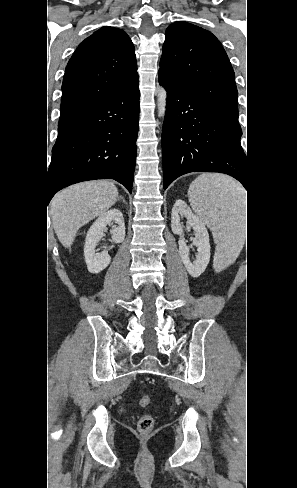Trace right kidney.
<instances>
[{
  "label": "right kidney",
  "instance_id": "ca27d5eb",
  "mask_svg": "<svg viewBox=\"0 0 297 488\" xmlns=\"http://www.w3.org/2000/svg\"><path fill=\"white\" fill-rule=\"evenodd\" d=\"M114 221L118 226H112L111 235L112 241L115 243H121L125 239V223L122 212L113 208L101 216L92 224L91 228L87 232L84 245V256L88 270L91 273H99L104 270L111 262V257L107 250L101 253H96L95 248L97 243L103 237V232L106 230V226Z\"/></svg>",
  "mask_w": 297,
  "mask_h": 488
}]
</instances>
